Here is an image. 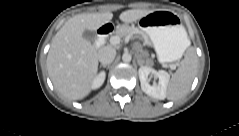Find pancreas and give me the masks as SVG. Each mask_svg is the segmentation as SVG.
<instances>
[{"mask_svg": "<svg viewBox=\"0 0 239 136\" xmlns=\"http://www.w3.org/2000/svg\"><path fill=\"white\" fill-rule=\"evenodd\" d=\"M115 34L119 37L141 35L148 42L147 38L145 37V34H143L142 31H140L135 27H130L128 25H122L119 28H117Z\"/></svg>", "mask_w": 239, "mask_h": 136, "instance_id": "1", "label": "pancreas"}]
</instances>
